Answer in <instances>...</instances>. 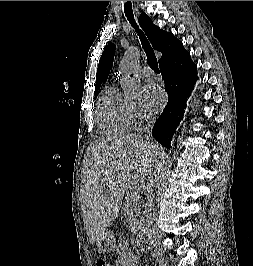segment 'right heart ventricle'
Masks as SVG:
<instances>
[{
	"mask_svg": "<svg viewBox=\"0 0 253 266\" xmlns=\"http://www.w3.org/2000/svg\"><path fill=\"white\" fill-rule=\"evenodd\" d=\"M97 117L99 128L106 135H122L134 126L128 102L121 98L114 86L107 87L100 98Z\"/></svg>",
	"mask_w": 253,
	"mask_h": 266,
	"instance_id": "e07e8e85",
	"label": "right heart ventricle"
}]
</instances>
